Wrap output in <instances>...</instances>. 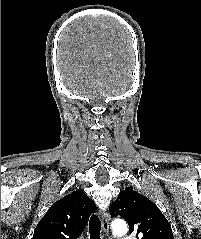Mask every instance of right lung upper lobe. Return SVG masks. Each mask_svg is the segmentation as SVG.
Returning a JSON list of instances; mask_svg holds the SVG:
<instances>
[{
	"instance_id": "right-lung-upper-lobe-1",
	"label": "right lung upper lobe",
	"mask_w": 201,
	"mask_h": 239,
	"mask_svg": "<svg viewBox=\"0 0 201 239\" xmlns=\"http://www.w3.org/2000/svg\"><path fill=\"white\" fill-rule=\"evenodd\" d=\"M95 209L94 202L84 192L74 191L48 209L32 239H77Z\"/></svg>"
}]
</instances>
